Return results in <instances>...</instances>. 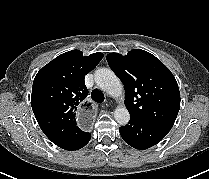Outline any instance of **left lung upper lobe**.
I'll return each instance as SVG.
<instances>
[{
  "instance_id": "left-lung-upper-lobe-1",
  "label": "left lung upper lobe",
  "mask_w": 209,
  "mask_h": 179,
  "mask_svg": "<svg viewBox=\"0 0 209 179\" xmlns=\"http://www.w3.org/2000/svg\"><path fill=\"white\" fill-rule=\"evenodd\" d=\"M110 68L125 87V106L130 116L172 128L180 109L175 77L154 55L134 49L123 56L110 53Z\"/></svg>"
}]
</instances>
